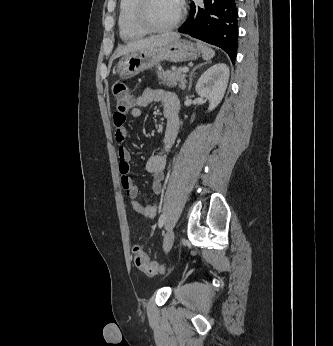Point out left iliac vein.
I'll list each match as a JSON object with an SVG mask.
<instances>
[{"label": "left iliac vein", "instance_id": "obj_1", "mask_svg": "<svg viewBox=\"0 0 333 346\" xmlns=\"http://www.w3.org/2000/svg\"><path fill=\"white\" fill-rule=\"evenodd\" d=\"M175 233L173 229H169L164 237L163 248L165 252H168L173 244Z\"/></svg>", "mask_w": 333, "mask_h": 346}]
</instances>
